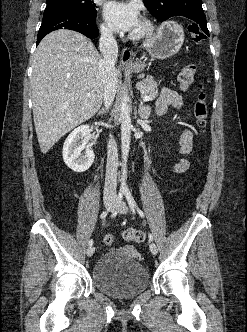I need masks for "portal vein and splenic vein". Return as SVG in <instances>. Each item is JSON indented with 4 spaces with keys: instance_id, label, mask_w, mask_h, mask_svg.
Returning <instances> with one entry per match:
<instances>
[{
    "instance_id": "portal-vein-and-splenic-vein-1",
    "label": "portal vein and splenic vein",
    "mask_w": 247,
    "mask_h": 332,
    "mask_svg": "<svg viewBox=\"0 0 247 332\" xmlns=\"http://www.w3.org/2000/svg\"><path fill=\"white\" fill-rule=\"evenodd\" d=\"M89 95H90V94H87V96H89ZM142 99H143L144 102H148V101L151 100V97L148 96V95H146V96H143Z\"/></svg>"
}]
</instances>
